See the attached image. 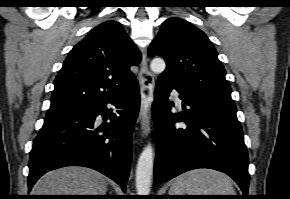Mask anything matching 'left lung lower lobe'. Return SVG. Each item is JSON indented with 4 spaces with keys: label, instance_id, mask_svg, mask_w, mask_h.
I'll list each match as a JSON object with an SVG mask.
<instances>
[{
    "label": "left lung lower lobe",
    "instance_id": "left-lung-lower-lobe-1",
    "mask_svg": "<svg viewBox=\"0 0 290 199\" xmlns=\"http://www.w3.org/2000/svg\"><path fill=\"white\" fill-rule=\"evenodd\" d=\"M180 94L184 111L171 113L169 92ZM234 104L178 88L158 78L152 114L156 126L155 183L197 168L228 174L247 198L248 154ZM181 121V124L177 122Z\"/></svg>",
    "mask_w": 290,
    "mask_h": 199
}]
</instances>
